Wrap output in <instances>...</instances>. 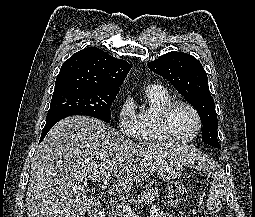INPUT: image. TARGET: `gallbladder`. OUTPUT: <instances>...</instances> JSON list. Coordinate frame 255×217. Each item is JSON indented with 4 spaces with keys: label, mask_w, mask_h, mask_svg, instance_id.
<instances>
[{
    "label": "gallbladder",
    "mask_w": 255,
    "mask_h": 217,
    "mask_svg": "<svg viewBox=\"0 0 255 217\" xmlns=\"http://www.w3.org/2000/svg\"><path fill=\"white\" fill-rule=\"evenodd\" d=\"M90 202H95V200L91 198V199H90Z\"/></svg>",
    "instance_id": "1"
}]
</instances>
